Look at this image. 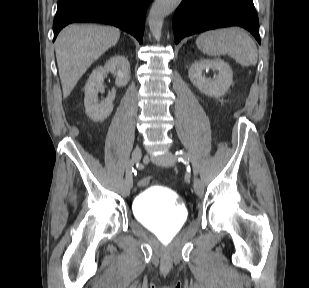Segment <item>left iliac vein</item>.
Wrapping results in <instances>:
<instances>
[{
	"label": "left iliac vein",
	"mask_w": 309,
	"mask_h": 288,
	"mask_svg": "<svg viewBox=\"0 0 309 288\" xmlns=\"http://www.w3.org/2000/svg\"><path fill=\"white\" fill-rule=\"evenodd\" d=\"M151 160L162 166H173L175 164V157L171 152H165L158 156H152ZM194 190L197 196H202L204 193V187L202 182L198 178H194L193 182Z\"/></svg>",
	"instance_id": "obj_1"
}]
</instances>
